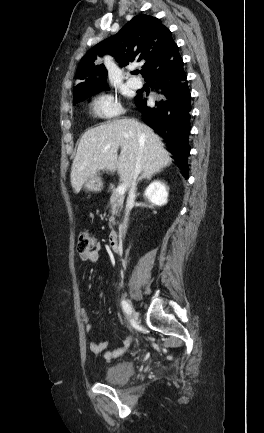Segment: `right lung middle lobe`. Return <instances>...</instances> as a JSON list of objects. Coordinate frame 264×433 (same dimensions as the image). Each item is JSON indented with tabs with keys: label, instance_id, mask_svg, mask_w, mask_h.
Returning <instances> with one entry per match:
<instances>
[{
	"label": "right lung middle lobe",
	"instance_id": "1",
	"mask_svg": "<svg viewBox=\"0 0 264 433\" xmlns=\"http://www.w3.org/2000/svg\"><path fill=\"white\" fill-rule=\"evenodd\" d=\"M92 94H94V93H92ZM92 94H88V95H86V96H84V97H82V98H80V99H78V100H76V101H73L74 105L77 104V103L80 102V101L85 100L86 98H88V97H89L90 95H92Z\"/></svg>",
	"mask_w": 264,
	"mask_h": 433
}]
</instances>
